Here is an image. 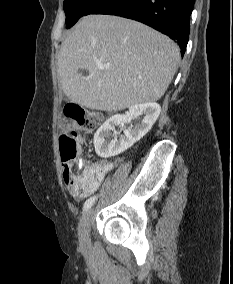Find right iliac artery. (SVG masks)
<instances>
[{"mask_svg": "<svg viewBox=\"0 0 233 284\" xmlns=\"http://www.w3.org/2000/svg\"><path fill=\"white\" fill-rule=\"evenodd\" d=\"M96 196L90 197L89 199L86 200L83 210L87 211L89 208H91V206L94 204L95 200H96Z\"/></svg>", "mask_w": 233, "mask_h": 284, "instance_id": "1", "label": "right iliac artery"}]
</instances>
